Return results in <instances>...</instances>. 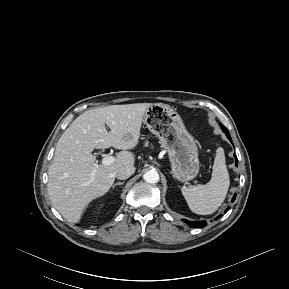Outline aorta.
Segmentation results:
<instances>
[{"instance_id": "obj_1", "label": "aorta", "mask_w": 289, "mask_h": 289, "mask_svg": "<svg viewBox=\"0 0 289 289\" xmlns=\"http://www.w3.org/2000/svg\"><path fill=\"white\" fill-rule=\"evenodd\" d=\"M143 178L147 183L154 184L159 181V174L156 170H150L143 175Z\"/></svg>"}]
</instances>
